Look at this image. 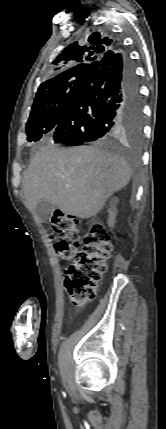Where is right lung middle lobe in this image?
I'll return each mask as SVG.
<instances>
[{
  "label": "right lung middle lobe",
  "mask_w": 166,
  "mask_h": 429,
  "mask_svg": "<svg viewBox=\"0 0 166 429\" xmlns=\"http://www.w3.org/2000/svg\"><path fill=\"white\" fill-rule=\"evenodd\" d=\"M86 75H77L59 81L36 95L26 126L29 142L38 141L47 133H53L75 90L85 80ZM124 137L133 144H139L141 127L126 129Z\"/></svg>",
  "instance_id": "right-lung-middle-lobe-1"
}]
</instances>
